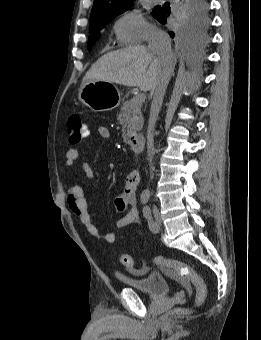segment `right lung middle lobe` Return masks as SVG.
Returning <instances> with one entry per match:
<instances>
[{
    "instance_id": "obj_1",
    "label": "right lung middle lobe",
    "mask_w": 261,
    "mask_h": 340,
    "mask_svg": "<svg viewBox=\"0 0 261 340\" xmlns=\"http://www.w3.org/2000/svg\"><path fill=\"white\" fill-rule=\"evenodd\" d=\"M131 6L132 5L128 6L119 14L127 11ZM157 11L158 9H155L151 14L155 16ZM116 16L106 17L90 23L89 32L91 35L88 40V49H91L94 43L99 39L101 35L100 31ZM177 20V34L184 39L196 41L206 37L209 28V16L208 9L204 5V0H189L185 5L178 9Z\"/></svg>"
}]
</instances>
